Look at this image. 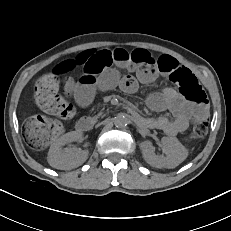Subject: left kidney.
Masks as SVG:
<instances>
[{
  "mask_svg": "<svg viewBox=\"0 0 231 231\" xmlns=\"http://www.w3.org/2000/svg\"><path fill=\"white\" fill-rule=\"evenodd\" d=\"M165 156L155 154L151 141L140 143L142 155L145 161L156 168H174L182 163L188 156V151L175 137H163L161 139Z\"/></svg>",
  "mask_w": 231,
  "mask_h": 231,
  "instance_id": "5707ae66",
  "label": "left kidney"
}]
</instances>
